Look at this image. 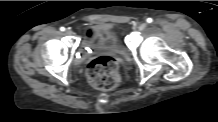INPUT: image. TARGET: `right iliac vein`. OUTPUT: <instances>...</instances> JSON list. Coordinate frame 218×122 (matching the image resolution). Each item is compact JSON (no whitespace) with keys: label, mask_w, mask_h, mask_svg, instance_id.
<instances>
[{"label":"right iliac vein","mask_w":218,"mask_h":122,"mask_svg":"<svg viewBox=\"0 0 218 122\" xmlns=\"http://www.w3.org/2000/svg\"><path fill=\"white\" fill-rule=\"evenodd\" d=\"M73 32L71 31V30H69V29H67L66 31H65V34L66 35H71Z\"/></svg>","instance_id":"obj_1"}]
</instances>
